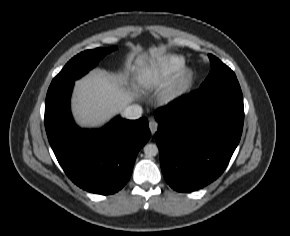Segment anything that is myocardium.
<instances>
[{"label":"myocardium","instance_id":"f54148a6","mask_svg":"<svg viewBox=\"0 0 290 236\" xmlns=\"http://www.w3.org/2000/svg\"><path fill=\"white\" fill-rule=\"evenodd\" d=\"M192 83V70L189 67H182L171 83L161 92L160 99L166 104H173L189 92Z\"/></svg>","mask_w":290,"mask_h":236}]
</instances>
